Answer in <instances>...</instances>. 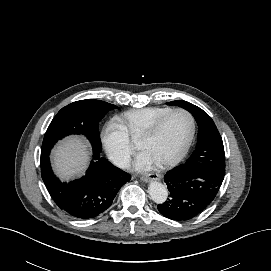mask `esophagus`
<instances>
[{
  "instance_id": "34e87169",
  "label": "esophagus",
  "mask_w": 271,
  "mask_h": 271,
  "mask_svg": "<svg viewBox=\"0 0 271 271\" xmlns=\"http://www.w3.org/2000/svg\"><path fill=\"white\" fill-rule=\"evenodd\" d=\"M140 179L144 182H149V181H159L161 179V175L159 174H147V175H142L140 176Z\"/></svg>"
}]
</instances>
